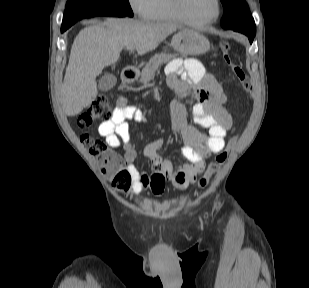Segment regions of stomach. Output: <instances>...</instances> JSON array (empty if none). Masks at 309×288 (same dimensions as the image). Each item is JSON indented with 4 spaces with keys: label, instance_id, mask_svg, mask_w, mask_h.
I'll list each match as a JSON object with an SVG mask.
<instances>
[{
    "label": "stomach",
    "instance_id": "1",
    "mask_svg": "<svg viewBox=\"0 0 309 288\" xmlns=\"http://www.w3.org/2000/svg\"><path fill=\"white\" fill-rule=\"evenodd\" d=\"M171 46L183 56L201 55L209 50L210 43L198 31L185 28L173 35Z\"/></svg>",
    "mask_w": 309,
    "mask_h": 288
}]
</instances>
